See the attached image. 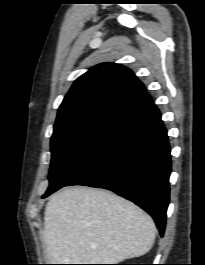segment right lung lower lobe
I'll return each instance as SVG.
<instances>
[{"mask_svg":"<svg viewBox=\"0 0 205 265\" xmlns=\"http://www.w3.org/2000/svg\"><path fill=\"white\" fill-rule=\"evenodd\" d=\"M170 172L167 130L154 105L129 122L65 186L87 185L119 194L147 211L163 236Z\"/></svg>","mask_w":205,"mask_h":265,"instance_id":"obj_1","label":"right lung lower lobe"}]
</instances>
